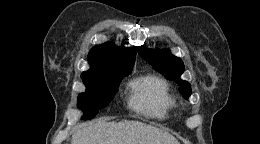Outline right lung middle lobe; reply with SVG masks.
<instances>
[{
    "instance_id": "obj_1",
    "label": "right lung middle lobe",
    "mask_w": 260,
    "mask_h": 144,
    "mask_svg": "<svg viewBox=\"0 0 260 144\" xmlns=\"http://www.w3.org/2000/svg\"><path fill=\"white\" fill-rule=\"evenodd\" d=\"M131 71L121 73H108L103 75L81 76L86 86V91L80 93L77 106L84 112V120L93 118L99 113V109L107 106L113 99L114 94L123 77Z\"/></svg>"
}]
</instances>
